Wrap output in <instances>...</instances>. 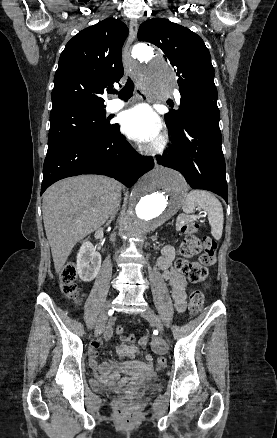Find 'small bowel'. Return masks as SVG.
<instances>
[{
    "mask_svg": "<svg viewBox=\"0 0 277 438\" xmlns=\"http://www.w3.org/2000/svg\"><path fill=\"white\" fill-rule=\"evenodd\" d=\"M175 259V250L171 246L163 248L162 255L158 259V266L163 271V279L168 281L172 289V297L175 303L177 311L183 312L186 308V279L173 267V261ZM105 337L110 338L113 335L112 328L109 325H105L102 328ZM126 338L133 340L135 335L129 333ZM147 339L142 338L139 342L141 348H145ZM99 347L98 342H92L90 345L89 355L91 358V366L99 374L96 379L102 383L110 386L116 385L120 381V371L130 375H145L151 372V355L145 356L144 362L128 361V360H110L109 363H103L98 365L94 360L96 357V349ZM138 352L135 346L121 345L117 349L118 356L120 358L134 357Z\"/></svg>",
    "mask_w": 277,
    "mask_h": 438,
    "instance_id": "small-bowel-1",
    "label": "small bowel"
}]
</instances>
